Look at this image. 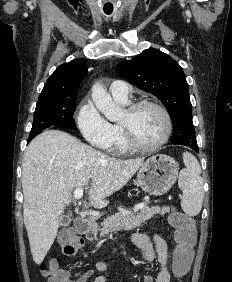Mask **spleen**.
Masks as SVG:
<instances>
[{
    "instance_id": "3e777b00",
    "label": "spleen",
    "mask_w": 232,
    "mask_h": 282,
    "mask_svg": "<svg viewBox=\"0 0 232 282\" xmlns=\"http://www.w3.org/2000/svg\"><path fill=\"white\" fill-rule=\"evenodd\" d=\"M185 168L179 174L178 185L183 192L181 207L183 211L196 216L200 213L203 203V180L200 176L201 167L198 160L189 152L183 153Z\"/></svg>"
}]
</instances>
